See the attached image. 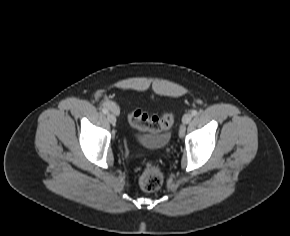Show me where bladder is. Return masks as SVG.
Returning <instances> with one entry per match:
<instances>
[{
    "label": "bladder",
    "instance_id": "31cf9c89",
    "mask_svg": "<svg viewBox=\"0 0 290 236\" xmlns=\"http://www.w3.org/2000/svg\"><path fill=\"white\" fill-rule=\"evenodd\" d=\"M170 139V135L168 133L149 135L143 134L137 137L138 144L149 150H157L164 148Z\"/></svg>",
    "mask_w": 290,
    "mask_h": 236
}]
</instances>
